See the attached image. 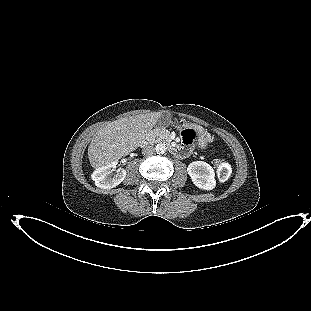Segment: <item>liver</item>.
<instances>
[{"label": "liver", "mask_w": 311, "mask_h": 311, "mask_svg": "<svg viewBox=\"0 0 311 311\" xmlns=\"http://www.w3.org/2000/svg\"><path fill=\"white\" fill-rule=\"evenodd\" d=\"M160 113H147L121 118L101 128L91 140L88 158L97 169L134 151L155 126Z\"/></svg>", "instance_id": "6515ba94"}]
</instances>
